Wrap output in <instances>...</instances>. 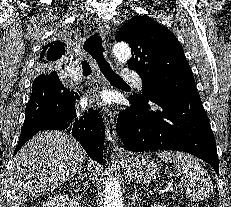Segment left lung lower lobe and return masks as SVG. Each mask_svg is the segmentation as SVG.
<instances>
[{
    "instance_id": "1",
    "label": "left lung lower lobe",
    "mask_w": 231,
    "mask_h": 207,
    "mask_svg": "<svg viewBox=\"0 0 231 207\" xmlns=\"http://www.w3.org/2000/svg\"><path fill=\"white\" fill-rule=\"evenodd\" d=\"M131 107L118 116L117 134L128 151L179 150L209 163L219 175L213 132L199 94L175 99L140 102L129 97Z\"/></svg>"
}]
</instances>
